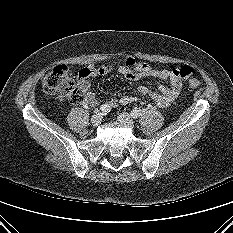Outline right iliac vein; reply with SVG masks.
<instances>
[{"label":"right iliac vein","instance_id":"1","mask_svg":"<svg viewBox=\"0 0 233 233\" xmlns=\"http://www.w3.org/2000/svg\"><path fill=\"white\" fill-rule=\"evenodd\" d=\"M101 121H102V114L101 113H96L91 117V124L94 127L99 126Z\"/></svg>","mask_w":233,"mask_h":233}]
</instances>
